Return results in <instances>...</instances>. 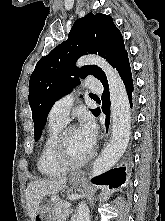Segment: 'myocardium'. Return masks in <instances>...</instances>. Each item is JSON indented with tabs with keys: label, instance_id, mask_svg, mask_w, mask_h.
<instances>
[{
	"label": "myocardium",
	"instance_id": "obj_1",
	"mask_svg": "<svg viewBox=\"0 0 165 221\" xmlns=\"http://www.w3.org/2000/svg\"><path fill=\"white\" fill-rule=\"evenodd\" d=\"M75 129H77L75 125L64 126L57 134L53 145V156L55 162L59 166L68 170L77 169L84 166L93 158L95 154V149L92 146L89 153L81 160L73 161L68 157L65 149V142L68 134Z\"/></svg>",
	"mask_w": 165,
	"mask_h": 221
}]
</instances>
